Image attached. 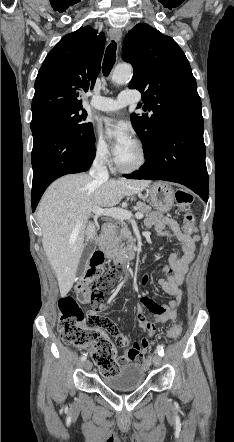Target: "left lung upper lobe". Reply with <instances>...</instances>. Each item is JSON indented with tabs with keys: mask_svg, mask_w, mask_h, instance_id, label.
<instances>
[{
	"mask_svg": "<svg viewBox=\"0 0 234 442\" xmlns=\"http://www.w3.org/2000/svg\"><path fill=\"white\" fill-rule=\"evenodd\" d=\"M122 59L134 68L129 88L142 93V109L151 111L130 117L144 154L149 156L167 126L202 115L197 84L183 50L148 24L139 23L128 33Z\"/></svg>",
	"mask_w": 234,
	"mask_h": 442,
	"instance_id": "1",
	"label": "left lung upper lobe"
}]
</instances>
